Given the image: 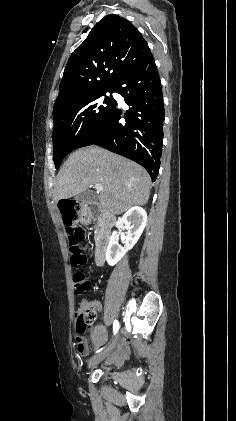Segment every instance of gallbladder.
Wrapping results in <instances>:
<instances>
[{
    "mask_svg": "<svg viewBox=\"0 0 236 421\" xmlns=\"http://www.w3.org/2000/svg\"><path fill=\"white\" fill-rule=\"evenodd\" d=\"M88 192H79V194H75V200H87Z\"/></svg>",
    "mask_w": 236,
    "mask_h": 421,
    "instance_id": "bac80fb5",
    "label": "gallbladder"
}]
</instances>
